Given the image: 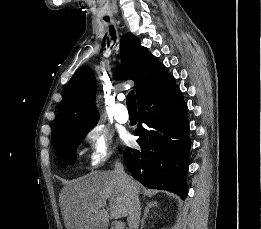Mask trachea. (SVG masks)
I'll return each mask as SVG.
<instances>
[{
  "mask_svg": "<svg viewBox=\"0 0 261 229\" xmlns=\"http://www.w3.org/2000/svg\"><path fill=\"white\" fill-rule=\"evenodd\" d=\"M110 32H111L112 36L115 35L113 28L110 29ZM126 105H127L129 113L137 112L136 98H135V93L133 91L128 93V95L126 97Z\"/></svg>",
  "mask_w": 261,
  "mask_h": 229,
  "instance_id": "1",
  "label": "trachea"
}]
</instances>
